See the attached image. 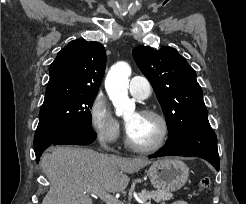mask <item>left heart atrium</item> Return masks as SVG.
<instances>
[{"label":"left heart atrium","mask_w":246,"mask_h":204,"mask_svg":"<svg viewBox=\"0 0 246 204\" xmlns=\"http://www.w3.org/2000/svg\"><path fill=\"white\" fill-rule=\"evenodd\" d=\"M134 124H135V118H133L131 120H128L126 122V130H127V132H129L133 128Z\"/></svg>","instance_id":"left-heart-atrium-1"}]
</instances>
